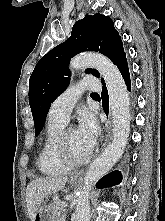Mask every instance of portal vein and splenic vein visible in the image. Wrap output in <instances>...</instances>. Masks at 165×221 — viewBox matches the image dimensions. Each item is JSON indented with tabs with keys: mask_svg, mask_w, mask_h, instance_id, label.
Masks as SVG:
<instances>
[{
	"mask_svg": "<svg viewBox=\"0 0 165 221\" xmlns=\"http://www.w3.org/2000/svg\"><path fill=\"white\" fill-rule=\"evenodd\" d=\"M62 206L66 207L67 203L66 202H62Z\"/></svg>",
	"mask_w": 165,
	"mask_h": 221,
	"instance_id": "1",
	"label": "portal vein and splenic vein"
}]
</instances>
